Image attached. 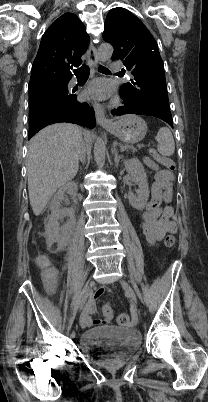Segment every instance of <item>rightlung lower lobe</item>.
<instances>
[{"mask_svg":"<svg viewBox=\"0 0 208 402\" xmlns=\"http://www.w3.org/2000/svg\"><path fill=\"white\" fill-rule=\"evenodd\" d=\"M43 84L44 83H33L29 88L33 89ZM59 122H69L88 128H94L96 126L94 109L88 103L76 101L70 108L40 114L29 124V139L42 128Z\"/></svg>","mask_w":208,"mask_h":402,"instance_id":"98d812e1","label":"right lung lower lobe"}]
</instances>
